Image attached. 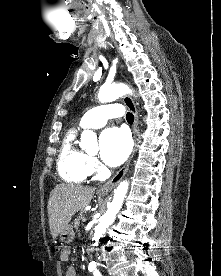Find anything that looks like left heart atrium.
<instances>
[{
    "instance_id": "39dd6f15",
    "label": "left heart atrium",
    "mask_w": 221,
    "mask_h": 276,
    "mask_svg": "<svg viewBox=\"0 0 221 276\" xmlns=\"http://www.w3.org/2000/svg\"><path fill=\"white\" fill-rule=\"evenodd\" d=\"M131 151L128 133L120 128L106 129L100 137V156L110 166L122 164Z\"/></svg>"
}]
</instances>
